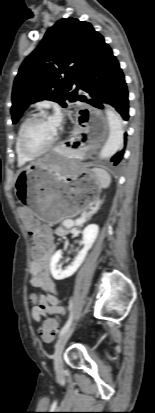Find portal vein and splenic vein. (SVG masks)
I'll return each mask as SVG.
<instances>
[{
	"mask_svg": "<svg viewBox=\"0 0 155 413\" xmlns=\"http://www.w3.org/2000/svg\"><path fill=\"white\" fill-rule=\"evenodd\" d=\"M82 222H84L83 219L77 220V223H82ZM67 224H68L69 226H73V225H74V222H73V221H67Z\"/></svg>",
	"mask_w": 155,
	"mask_h": 413,
	"instance_id": "obj_1",
	"label": "portal vein and splenic vein"
}]
</instances>
